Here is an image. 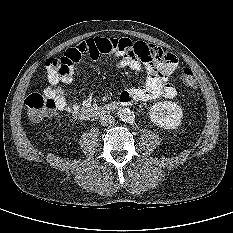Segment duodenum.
Returning <instances> with one entry per match:
<instances>
[{
	"label": "duodenum",
	"instance_id": "410a0bca",
	"mask_svg": "<svg viewBox=\"0 0 233 233\" xmlns=\"http://www.w3.org/2000/svg\"><path fill=\"white\" fill-rule=\"evenodd\" d=\"M121 104H122L121 102H113L101 107H91L86 112V116L87 118L97 117L105 112H109L111 110L118 108Z\"/></svg>",
	"mask_w": 233,
	"mask_h": 233
}]
</instances>
